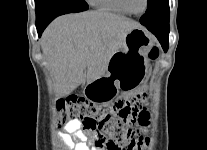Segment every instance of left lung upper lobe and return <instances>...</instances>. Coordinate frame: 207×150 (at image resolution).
<instances>
[{
    "label": "left lung upper lobe",
    "mask_w": 207,
    "mask_h": 150,
    "mask_svg": "<svg viewBox=\"0 0 207 150\" xmlns=\"http://www.w3.org/2000/svg\"><path fill=\"white\" fill-rule=\"evenodd\" d=\"M146 13L140 18V23L145 26L169 25V1L147 0Z\"/></svg>",
    "instance_id": "obj_1"
}]
</instances>
